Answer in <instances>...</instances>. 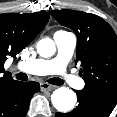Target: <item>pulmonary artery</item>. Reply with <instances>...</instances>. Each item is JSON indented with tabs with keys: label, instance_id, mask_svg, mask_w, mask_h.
Wrapping results in <instances>:
<instances>
[{
	"label": "pulmonary artery",
	"instance_id": "1",
	"mask_svg": "<svg viewBox=\"0 0 117 117\" xmlns=\"http://www.w3.org/2000/svg\"><path fill=\"white\" fill-rule=\"evenodd\" d=\"M54 42L57 49L54 58L21 62L18 64V68L34 75H59L69 86L82 89L84 87L83 80L66 72V65L71 59L77 43L75 34L57 31L54 34Z\"/></svg>",
	"mask_w": 117,
	"mask_h": 117
}]
</instances>
